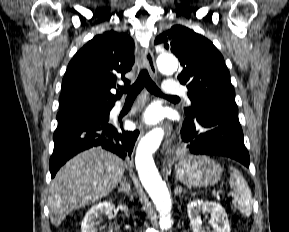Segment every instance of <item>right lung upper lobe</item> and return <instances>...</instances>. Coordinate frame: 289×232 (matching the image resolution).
Listing matches in <instances>:
<instances>
[{
    "mask_svg": "<svg viewBox=\"0 0 289 232\" xmlns=\"http://www.w3.org/2000/svg\"><path fill=\"white\" fill-rule=\"evenodd\" d=\"M125 34L108 31L95 36L70 61L62 80L60 110L81 107L112 108L122 94L110 92L134 64Z\"/></svg>",
    "mask_w": 289,
    "mask_h": 232,
    "instance_id": "right-lung-upper-lobe-1",
    "label": "right lung upper lobe"
}]
</instances>
